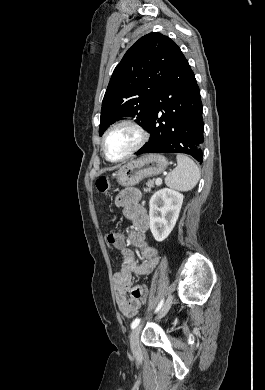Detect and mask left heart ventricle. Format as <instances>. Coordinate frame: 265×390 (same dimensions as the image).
Listing matches in <instances>:
<instances>
[{
  "label": "left heart ventricle",
  "mask_w": 265,
  "mask_h": 390,
  "mask_svg": "<svg viewBox=\"0 0 265 390\" xmlns=\"http://www.w3.org/2000/svg\"><path fill=\"white\" fill-rule=\"evenodd\" d=\"M137 140L136 133L127 127L114 130L107 138L106 153L109 159L117 160L124 156Z\"/></svg>",
  "instance_id": "obj_1"
}]
</instances>
